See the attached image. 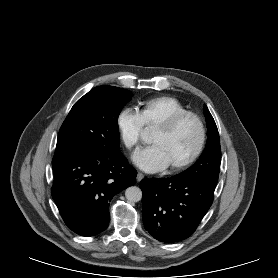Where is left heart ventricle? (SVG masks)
Wrapping results in <instances>:
<instances>
[{
  "instance_id": "b2bd125f",
  "label": "left heart ventricle",
  "mask_w": 278,
  "mask_h": 278,
  "mask_svg": "<svg viewBox=\"0 0 278 278\" xmlns=\"http://www.w3.org/2000/svg\"><path fill=\"white\" fill-rule=\"evenodd\" d=\"M198 139L197 124L192 119H187L169 133L155 129L151 143L162 148L171 165L187 158L195 150Z\"/></svg>"
}]
</instances>
